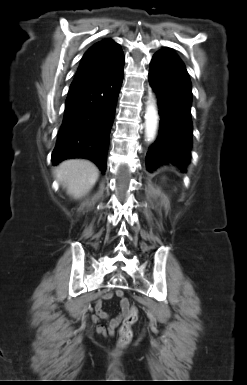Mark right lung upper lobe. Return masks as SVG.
I'll return each instance as SVG.
<instances>
[{
  "mask_svg": "<svg viewBox=\"0 0 247 385\" xmlns=\"http://www.w3.org/2000/svg\"><path fill=\"white\" fill-rule=\"evenodd\" d=\"M125 61L120 46L106 39L93 45L83 56L71 85L115 71Z\"/></svg>",
  "mask_w": 247,
  "mask_h": 385,
  "instance_id": "1",
  "label": "right lung upper lobe"
}]
</instances>
